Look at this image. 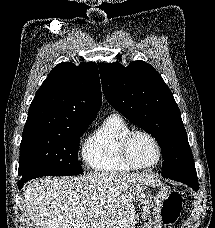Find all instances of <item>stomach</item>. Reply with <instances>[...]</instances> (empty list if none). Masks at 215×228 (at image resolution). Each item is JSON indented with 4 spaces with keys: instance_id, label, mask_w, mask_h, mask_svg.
<instances>
[{
    "instance_id": "0dacf381",
    "label": "stomach",
    "mask_w": 215,
    "mask_h": 228,
    "mask_svg": "<svg viewBox=\"0 0 215 228\" xmlns=\"http://www.w3.org/2000/svg\"><path fill=\"white\" fill-rule=\"evenodd\" d=\"M134 196L142 210L143 228H162V204L170 196L168 186L155 178H148L137 184Z\"/></svg>"
}]
</instances>
